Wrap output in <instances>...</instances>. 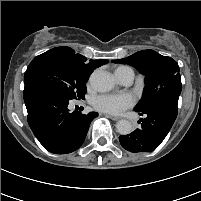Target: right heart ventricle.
Here are the masks:
<instances>
[{
	"instance_id": "e07e8e85",
	"label": "right heart ventricle",
	"mask_w": 201,
	"mask_h": 201,
	"mask_svg": "<svg viewBox=\"0 0 201 201\" xmlns=\"http://www.w3.org/2000/svg\"><path fill=\"white\" fill-rule=\"evenodd\" d=\"M127 71H132L133 70L130 68V67H127V66H119L116 70H115V74L116 75H120V74H123L124 72H127ZM134 73V72H133Z\"/></svg>"
}]
</instances>
